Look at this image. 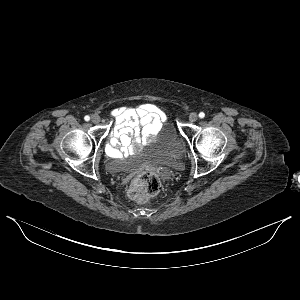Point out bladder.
<instances>
[{
    "mask_svg": "<svg viewBox=\"0 0 300 300\" xmlns=\"http://www.w3.org/2000/svg\"><path fill=\"white\" fill-rule=\"evenodd\" d=\"M148 156L164 165L178 168L183 164L184 153L175 130L167 129L164 134L156 135L147 148ZM128 168L125 160L110 159L106 169L111 173H119Z\"/></svg>",
    "mask_w": 300,
    "mask_h": 300,
    "instance_id": "bladder-1",
    "label": "bladder"
}]
</instances>
